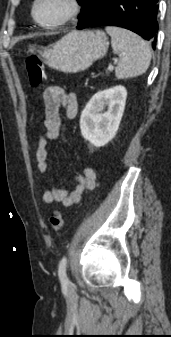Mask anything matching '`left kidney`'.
<instances>
[{
    "instance_id": "1",
    "label": "left kidney",
    "mask_w": 171,
    "mask_h": 337,
    "mask_svg": "<svg viewBox=\"0 0 171 337\" xmlns=\"http://www.w3.org/2000/svg\"><path fill=\"white\" fill-rule=\"evenodd\" d=\"M127 91L115 86L92 96L80 117L84 139L96 147L106 145L116 135L125 109ZM107 111H104L105 107Z\"/></svg>"
}]
</instances>
